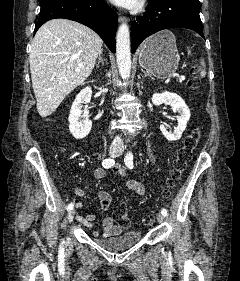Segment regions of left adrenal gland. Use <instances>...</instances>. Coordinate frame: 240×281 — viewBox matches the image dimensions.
Wrapping results in <instances>:
<instances>
[{
	"label": "left adrenal gland",
	"mask_w": 240,
	"mask_h": 281,
	"mask_svg": "<svg viewBox=\"0 0 240 281\" xmlns=\"http://www.w3.org/2000/svg\"><path fill=\"white\" fill-rule=\"evenodd\" d=\"M143 73H144V77H150L152 80H154V78L150 75V74H147L143 69L141 70Z\"/></svg>",
	"instance_id": "obj_1"
}]
</instances>
